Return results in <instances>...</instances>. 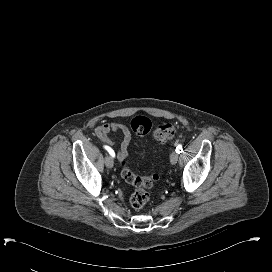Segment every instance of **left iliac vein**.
Returning <instances> with one entry per match:
<instances>
[{
	"label": "left iliac vein",
	"instance_id": "1",
	"mask_svg": "<svg viewBox=\"0 0 272 272\" xmlns=\"http://www.w3.org/2000/svg\"><path fill=\"white\" fill-rule=\"evenodd\" d=\"M178 158H179V155L176 151L172 152L171 155H170V162L171 164H176L177 161H178Z\"/></svg>",
	"mask_w": 272,
	"mask_h": 272
}]
</instances>
